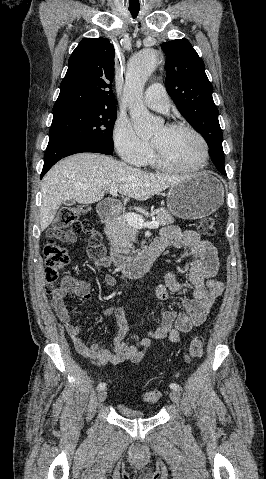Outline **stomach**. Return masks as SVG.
<instances>
[{
  "instance_id": "stomach-1",
  "label": "stomach",
  "mask_w": 266,
  "mask_h": 479,
  "mask_svg": "<svg viewBox=\"0 0 266 479\" xmlns=\"http://www.w3.org/2000/svg\"><path fill=\"white\" fill-rule=\"evenodd\" d=\"M224 188L208 171L174 184L167 194V208L181 219H200L215 212L223 203Z\"/></svg>"
}]
</instances>
